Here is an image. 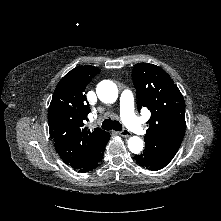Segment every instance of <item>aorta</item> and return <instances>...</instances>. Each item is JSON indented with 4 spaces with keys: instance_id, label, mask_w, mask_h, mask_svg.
<instances>
[{
    "instance_id": "obj_1",
    "label": "aorta",
    "mask_w": 221,
    "mask_h": 221,
    "mask_svg": "<svg viewBox=\"0 0 221 221\" xmlns=\"http://www.w3.org/2000/svg\"><path fill=\"white\" fill-rule=\"evenodd\" d=\"M98 98L104 103H114L118 98V89L114 82L110 80L101 81L96 88ZM143 140L138 136L130 137L128 140V148L138 154L143 150Z\"/></svg>"
}]
</instances>
